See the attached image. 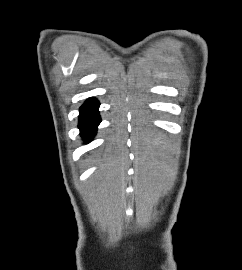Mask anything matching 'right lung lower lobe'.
I'll list each match as a JSON object with an SVG mask.
<instances>
[{"label": "right lung lower lobe", "instance_id": "obj_1", "mask_svg": "<svg viewBox=\"0 0 242 270\" xmlns=\"http://www.w3.org/2000/svg\"><path fill=\"white\" fill-rule=\"evenodd\" d=\"M99 102L96 99L87 100L80 108L79 128L82 137L89 141L95 134L101 122L98 112Z\"/></svg>", "mask_w": 242, "mask_h": 270}]
</instances>
